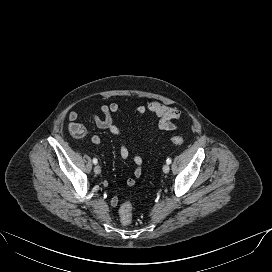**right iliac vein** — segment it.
Returning a JSON list of instances; mask_svg holds the SVG:
<instances>
[{
	"label": "right iliac vein",
	"instance_id": "right-iliac-vein-1",
	"mask_svg": "<svg viewBox=\"0 0 272 272\" xmlns=\"http://www.w3.org/2000/svg\"><path fill=\"white\" fill-rule=\"evenodd\" d=\"M94 172H95L96 174H100V173H101V168H100L99 165H96V166L94 167Z\"/></svg>",
	"mask_w": 272,
	"mask_h": 272
}]
</instances>
